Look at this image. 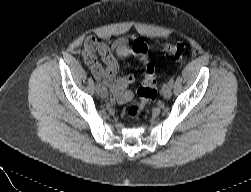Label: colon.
<instances>
[{"mask_svg": "<svg viewBox=\"0 0 251 192\" xmlns=\"http://www.w3.org/2000/svg\"><path fill=\"white\" fill-rule=\"evenodd\" d=\"M163 53L180 60L184 57L186 48L183 44L167 45L163 48ZM141 75L142 81L137 90L138 100L126 109V115L131 120H136L145 106L157 97L156 71L153 64H146L141 69Z\"/></svg>", "mask_w": 251, "mask_h": 192, "instance_id": "colon-1", "label": "colon"}]
</instances>
